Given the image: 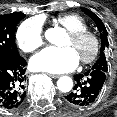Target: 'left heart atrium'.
Wrapping results in <instances>:
<instances>
[{"label":"left heart atrium","mask_w":117,"mask_h":117,"mask_svg":"<svg viewBox=\"0 0 117 117\" xmlns=\"http://www.w3.org/2000/svg\"><path fill=\"white\" fill-rule=\"evenodd\" d=\"M79 63V57L71 47H47L30 60L34 70L48 73H62L71 71Z\"/></svg>","instance_id":"1"}]
</instances>
